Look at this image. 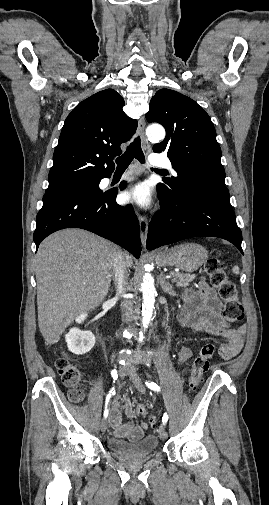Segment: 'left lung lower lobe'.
<instances>
[{
	"label": "left lung lower lobe",
	"instance_id": "obj_1",
	"mask_svg": "<svg viewBox=\"0 0 269 505\" xmlns=\"http://www.w3.org/2000/svg\"><path fill=\"white\" fill-rule=\"evenodd\" d=\"M157 192L162 209L149 224L147 249L191 237H219L233 243L243 254L242 233L225 186L196 182L182 187L172 197L158 189Z\"/></svg>",
	"mask_w": 269,
	"mask_h": 505
}]
</instances>
